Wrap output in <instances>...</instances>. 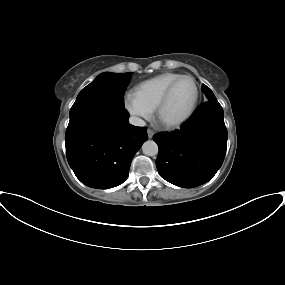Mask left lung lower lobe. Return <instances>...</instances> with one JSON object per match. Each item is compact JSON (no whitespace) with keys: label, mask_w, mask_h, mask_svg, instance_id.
<instances>
[{"label":"left lung lower lobe","mask_w":285,"mask_h":285,"mask_svg":"<svg viewBox=\"0 0 285 285\" xmlns=\"http://www.w3.org/2000/svg\"><path fill=\"white\" fill-rule=\"evenodd\" d=\"M156 166L168 182L193 188L209 181L221 167L227 147L224 113L218 101L199 106L180 130L153 136Z\"/></svg>","instance_id":"obj_1"}]
</instances>
